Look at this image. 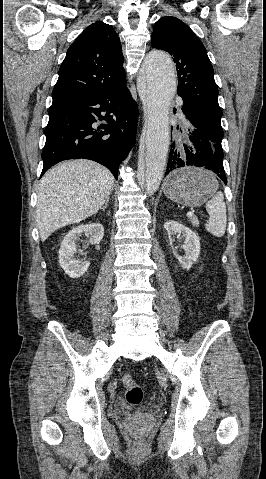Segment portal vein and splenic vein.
<instances>
[{
  "instance_id": "portal-vein-and-splenic-vein-1",
  "label": "portal vein and splenic vein",
  "mask_w": 266,
  "mask_h": 479,
  "mask_svg": "<svg viewBox=\"0 0 266 479\" xmlns=\"http://www.w3.org/2000/svg\"><path fill=\"white\" fill-rule=\"evenodd\" d=\"M194 216V212L193 211H190L187 213V217L190 218V217H193Z\"/></svg>"
}]
</instances>
